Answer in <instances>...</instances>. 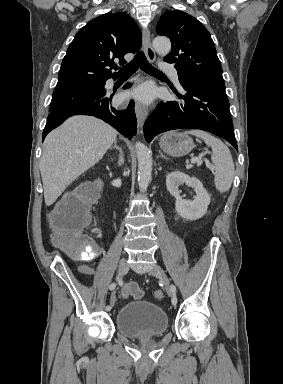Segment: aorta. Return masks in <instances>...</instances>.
I'll return each instance as SVG.
<instances>
[{"label": "aorta", "instance_id": "1", "mask_svg": "<svg viewBox=\"0 0 283 384\" xmlns=\"http://www.w3.org/2000/svg\"><path fill=\"white\" fill-rule=\"evenodd\" d=\"M155 51L166 56L171 50V42L166 37H156L153 41ZM138 159V185L140 191H145L151 182L152 157L146 145L137 142L135 144Z\"/></svg>", "mask_w": 283, "mask_h": 384}]
</instances>
